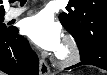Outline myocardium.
I'll return each instance as SVG.
<instances>
[{
    "label": "myocardium",
    "instance_id": "1",
    "mask_svg": "<svg viewBox=\"0 0 107 75\" xmlns=\"http://www.w3.org/2000/svg\"><path fill=\"white\" fill-rule=\"evenodd\" d=\"M63 52L55 54V62L59 66H69L80 60V47L78 42L71 35L65 36L63 43Z\"/></svg>",
    "mask_w": 107,
    "mask_h": 75
}]
</instances>
